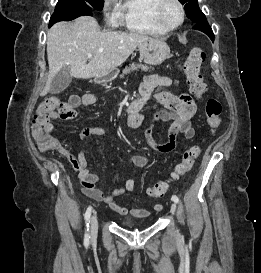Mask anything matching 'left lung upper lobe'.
I'll list each match as a JSON object with an SVG mask.
<instances>
[{"mask_svg": "<svg viewBox=\"0 0 261 273\" xmlns=\"http://www.w3.org/2000/svg\"><path fill=\"white\" fill-rule=\"evenodd\" d=\"M184 4V9L186 11V16L191 19L195 24L202 20H205L206 17L203 12L199 9L197 0H179Z\"/></svg>", "mask_w": 261, "mask_h": 273, "instance_id": "5c2ea615", "label": "left lung upper lobe"}]
</instances>
